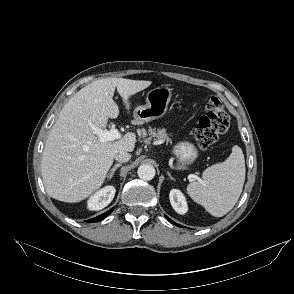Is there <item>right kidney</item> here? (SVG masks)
Wrapping results in <instances>:
<instances>
[{"label":"right kidney","instance_id":"ca27d5eb","mask_svg":"<svg viewBox=\"0 0 294 294\" xmlns=\"http://www.w3.org/2000/svg\"><path fill=\"white\" fill-rule=\"evenodd\" d=\"M115 191L114 186H106L100 189L88 199V209L98 211L105 208L113 200Z\"/></svg>","mask_w":294,"mask_h":294}]
</instances>
